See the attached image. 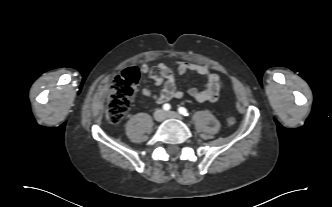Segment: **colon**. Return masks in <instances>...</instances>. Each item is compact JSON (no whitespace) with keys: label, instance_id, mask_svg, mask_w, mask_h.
<instances>
[{"label":"colon","instance_id":"colon-1","mask_svg":"<svg viewBox=\"0 0 332 207\" xmlns=\"http://www.w3.org/2000/svg\"><path fill=\"white\" fill-rule=\"evenodd\" d=\"M139 89V71L130 67L119 73L113 80L106 107V118L110 123H118L128 112L132 97ZM235 124L233 117H227L226 125Z\"/></svg>","mask_w":332,"mask_h":207}]
</instances>
